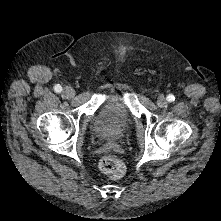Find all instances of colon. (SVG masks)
<instances>
[{
    "label": "colon",
    "instance_id": "obj_1",
    "mask_svg": "<svg viewBox=\"0 0 221 221\" xmlns=\"http://www.w3.org/2000/svg\"><path fill=\"white\" fill-rule=\"evenodd\" d=\"M99 168L102 172L110 175L113 178H120L125 172L124 163L112 155L102 157L99 161Z\"/></svg>",
    "mask_w": 221,
    "mask_h": 221
}]
</instances>
